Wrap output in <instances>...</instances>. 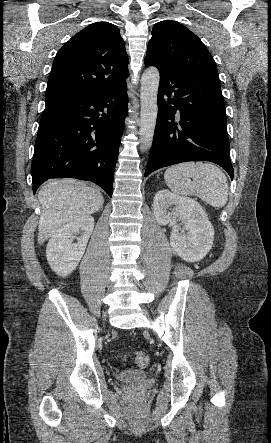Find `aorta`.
Here are the masks:
<instances>
[{"instance_id": "obj_1", "label": "aorta", "mask_w": 271, "mask_h": 443, "mask_svg": "<svg viewBox=\"0 0 271 443\" xmlns=\"http://www.w3.org/2000/svg\"><path fill=\"white\" fill-rule=\"evenodd\" d=\"M160 82V74L157 68H147L141 78V112L139 142L141 152L150 150L153 142L156 126L158 106L157 94Z\"/></svg>"}]
</instances>
